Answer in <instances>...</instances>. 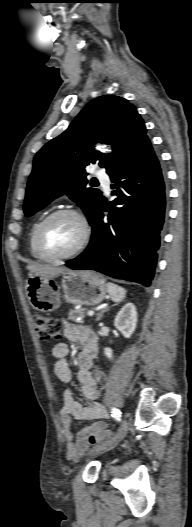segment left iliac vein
Wrapping results in <instances>:
<instances>
[{"mask_svg":"<svg viewBox=\"0 0 192 527\" xmlns=\"http://www.w3.org/2000/svg\"><path fill=\"white\" fill-rule=\"evenodd\" d=\"M127 430H128L127 420L123 419L122 422H121V425L119 427V430L116 433V435L111 440H109L107 442H104V443H101V444H98L97 446H95L90 451V454H94V453H97L99 451L105 450V449H107L109 447H112L114 445H117L125 437V435L127 433Z\"/></svg>","mask_w":192,"mask_h":527,"instance_id":"4c4485c4","label":"left iliac vein"}]
</instances>
